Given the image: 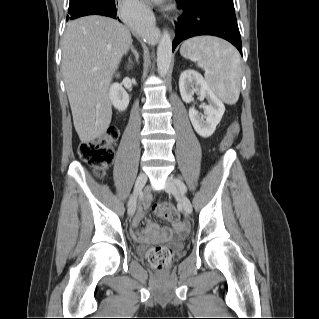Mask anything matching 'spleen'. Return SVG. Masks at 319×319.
<instances>
[{"mask_svg":"<svg viewBox=\"0 0 319 319\" xmlns=\"http://www.w3.org/2000/svg\"><path fill=\"white\" fill-rule=\"evenodd\" d=\"M180 54L204 69L207 85L221 101L229 105L238 101L241 60L232 45L216 37H194L182 44Z\"/></svg>","mask_w":319,"mask_h":319,"instance_id":"1","label":"spleen"}]
</instances>
